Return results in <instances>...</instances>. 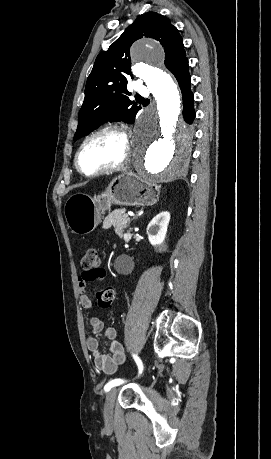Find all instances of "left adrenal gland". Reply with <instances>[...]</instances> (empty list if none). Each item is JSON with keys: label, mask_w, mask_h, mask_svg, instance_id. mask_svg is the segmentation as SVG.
<instances>
[{"label": "left adrenal gland", "mask_w": 271, "mask_h": 459, "mask_svg": "<svg viewBox=\"0 0 271 459\" xmlns=\"http://www.w3.org/2000/svg\"><path fill=\"white\" fill-rule=\"evenodd\" d=\"M129 224H130V222H128V224H127L126 228H128Z\"/></svg>", "instance_id": "left-adrenal-gland-1"}]
</instances>
